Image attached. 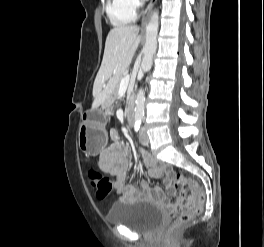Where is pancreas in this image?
Segmentation results:
<instances>
[{"label": "pancreas", "mask_w": 264, "mask_h": 247, "mask_svg": "<svg viewBox=\"0 0 264 247\" xmlns=\"http://www.w3.org/2000/svg\"><path fill=\"white\" fill-rule=\"evenodd\" d=\"M118 89H119V84H117V85L115 86V88H114V90H113V97H112V99H110V100L108 101V103L111 102V101H113V100H115V99L117 98Z\"/></svg>", "instance_id": "cf45deb5"}]
</instances>
